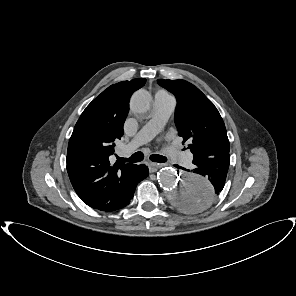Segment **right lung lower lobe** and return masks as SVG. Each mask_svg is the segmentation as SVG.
Masks as SVG:
<instances>
[{"instance_id": "1", "label": "right lung lower lobe", "mask_w": 296, "mask_h": 296, "mask_svg": "<svg viewBox=\"0 0 296 296\" xmlns=\"http://www.w3.org/2000/svg\"><path fill=\"white\" fill-rule=\"evenodd\" d=\"M148 174V168L145 165H132L131 169L128 172L127 193L120 205L117 207V209H121L129 204L130 200L134 195L137 184L143 179H145L148 176Z\"/></svg>"}]
</instances>
